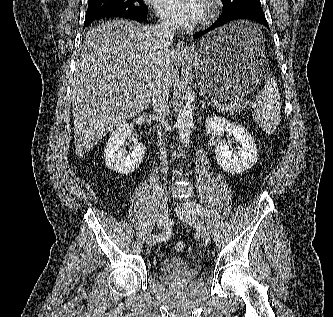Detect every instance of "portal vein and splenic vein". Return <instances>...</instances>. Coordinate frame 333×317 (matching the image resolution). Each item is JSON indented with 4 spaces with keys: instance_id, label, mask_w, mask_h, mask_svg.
Here are the masks:
<instances>
[{
    "instance_id": "portal-vein-and-splenic-vein-1",
    "label": "portal vein and splenic vein",
    "mask_w": 333,
    "mask_h": 317,
    "mask_svg": "<svg viewBox=\"0 0 333 317\" xmlns=\"http://www.w3.org/2000/svg\"><path fill=\"white\" fill-rule=\"evenodd\" d=\"M214 104H217V101H215V102H214ZM252 107H256V105H255V104H253V105H252Z\"/></svg>"
}]
</instances>
